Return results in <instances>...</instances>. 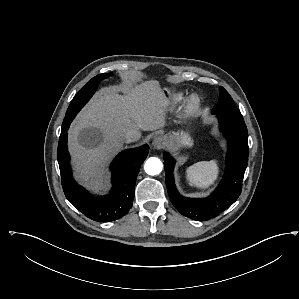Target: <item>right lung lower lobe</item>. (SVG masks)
Segmentation results:
<instances>
[{
  "mask_svg": "<svg viewBox=\"0 0 299 299\" xmlns=\"http://www.w3.org/2000/svg\"><path fill=\"white\" fill-rule=\"evenodd\" d=\"M61 129L58 144V163L62 177V186L66 198L84 215L99 222H110L126 215L132 206L135 183L141 164L147 157L149 146L129 149L121 152L113 161V186L108 195L93 197L72 178L67 150V130Z\"/></svg>",
  "mask_w": 299,
  "mask_h": 299,
  "instance_id": "1",
  "label": "right lung lower lobe"
}]
</instances>
